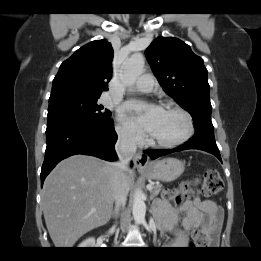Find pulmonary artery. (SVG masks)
I'll return each mask as SVG.
<instances>
[{"mask_svg": "<svg viewBox=\"0 0 261 261\" xmlns=\"http://www.w3.org/2000/svg\"><path fill=\"white\" fill-rule=\"evenodd\" d=\"M154 85L155 81L153 76L150 74H143L137 79L133 89L137 92L149 93L152 91Z\"/></svg>", "mask_w": 261, "mask_h": 261, "instance_id": "e3ab8cb5", "label": "pulmonary artery"}]
</instances>
